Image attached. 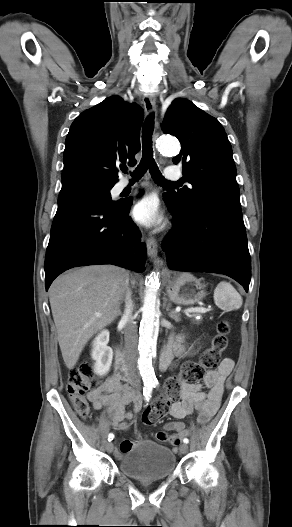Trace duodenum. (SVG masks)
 <instances>
[{
  "instance_id": "1",
  "label": "duodenum",
  "mask_w": 292,
  "mask_h": 527,
  "mask_svg": "<svg viewBox=\"0 0 292 527\" xmlns=\"http://www.w3.org/2000/svg\"><path fill=\"white\" fill-rule=\"evenodd\" d=\"M161 364H162V367H166V365H167V360H166L164 355L162 357ZM115 374L117 376H119L126 383H130L131 384L133 382V380L131 378V375L129 373V370H128V366L126 364L125 357H124L123 353L120 350H116V355H115Z\"/></svg>"
}]
</instances>
